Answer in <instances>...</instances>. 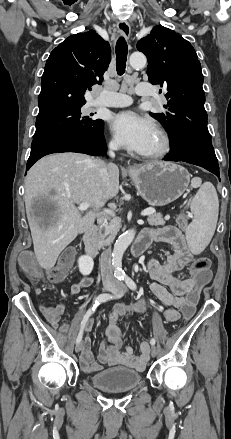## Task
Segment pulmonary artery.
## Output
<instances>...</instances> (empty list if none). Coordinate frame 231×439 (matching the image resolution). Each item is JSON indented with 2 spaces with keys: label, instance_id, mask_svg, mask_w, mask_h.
Returning a JSON list of instances; mask_svg holds the SVG:
<instances>
[{
  "label": "pulmonary artery",
  "instance_id": "pulmonary-artery-1",
  "mask_svg": "<svg viewBox=\"0 0 231 439\" xmlns=\"http://www.w3.org/2000/svg\"><path fill=\"white\" fill-rule=\"evenodd\" d=\"M136 94L140 96L151 95V87L147 83H140L136 86ZM132 103V98L122 92L114 91V88L103 90L100 96L94 101L96 106L106 107H126Z\"/></svg>",
  "mask_w": 231,
  "mask_h": 439
}]
</instances>
